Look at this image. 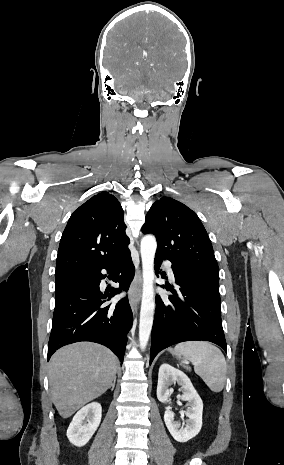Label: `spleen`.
<instances>
[{
  "mask_svg": "<svg viewBox=\"0 0 284 465\" xmlns=\"http://www.w3.org/2000/svg\"><path fill=\"white\" fill-rule=\"evenodd\" d=\"M174 351L176 355H183L185 361L195 363L196 375L203 379L211 391L214 393L222 391L226 381L227 365L220 349L206 341H187L176 345ZM185 369L190 371V367Z\"/></svg>",
  "mask_w": 284,
  "mask_h": 465,
  "instance_id": "1",
  "label": "spleen"
}]
</instances>
